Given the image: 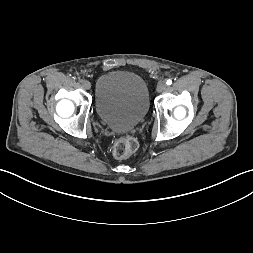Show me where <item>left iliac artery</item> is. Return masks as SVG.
Returning a JSON list of instances; mask_svg holds the SVG:
<instances>
[{
    "mask_svg": "<svg viewBox=\"0 0 253 253\" xmlns=\"http://www.w3.org/2000/svg\"><path fill=\"white\" fill-rule=\"evenodd\" d=\"M166 84L167 85H171L172 84V80L171 79L167 80Z\"/></svg>",
    "mask_w": 253,
    "mask_h": 253,
    "instance_id": "1",
    "label": "left iliac artery"
}]
</instances>
